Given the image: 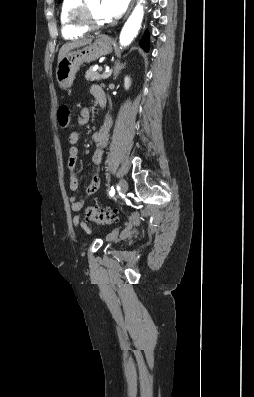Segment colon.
<instances>
[{
  "mask_svg": "<svg viewBox=\"0 0 254 397\" xmlns=\"http://www.w3.org/2000/svg\"><path fill=\"white\" fill-rule=\"evenodd\" d=\"M71 111L68 105H61L57 112V120L61 128H67L70 124ZM86 219L96 224H112L118 221L119 214L116 210H100L95 207H88Z\"/></svg>",
  "mask_w": 254,
  "mask_h": 397,
  "instance_id": "5ec220e1",
  "label": "colon"
}]
</instances>
